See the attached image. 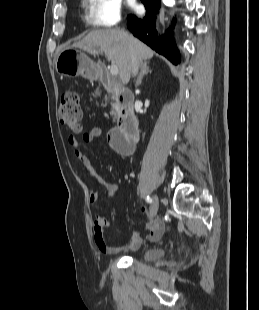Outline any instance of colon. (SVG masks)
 Instances as JSON below:
<instances>
[{
	"label": "colon",
	"mask_w": 259,
	"mask_h": 310,
	"mask_svg": "<svg viewBox=\"0 0 259 310\" xmlns=\"http://www.w3.org/2000/svg\"><path fill=\"white\" fill-rule=\"evenodd\" d=\"M58 118L68 129L79 132L81 129L82 110L79 95L74 90H67L62 95L58 109Z\"/></svg>",
	"instance_id": "obj_1"
}]
</instances>
